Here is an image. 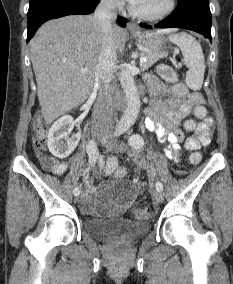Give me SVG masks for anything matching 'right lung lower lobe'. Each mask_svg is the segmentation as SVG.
I'll return each mask as SVG.
<instances>
[{
	"instance_id": "98d812e1",
	"label": "right lung lower lobe",
	"mask_w": 233,
	"mask_h": 284,
	"mask_svg": "<svg viewBox=\"0 0 233 284\" xmlns=\"http://www.w3.org/2000/svg\"><path fill=\"white\" fill-rule=\"evenodd\" d=\"M99 2L100 0H30L27 41L44 22L67 15L90 14ZM126 21L123 17L117 18L120 26H125Z\"/></svg>"
}]
</instances>
